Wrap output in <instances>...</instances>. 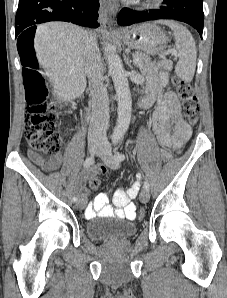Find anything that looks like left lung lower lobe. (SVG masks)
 Listing matches in <instances>:
<instances>
[{
  "label": "left lung lower lobe",
  "instance_id": "left-lung-lower-lobe-1",
  "mask_svg": "<svg viewBox=\"0 0 227 298\" xmlns=\"http://www.w3.org/2000/svg\"><path fill=\"white\" fill-rule=\"evenodd\" d=\"M160 9L132 11L123 8L118 16V24L128 26L138 22L157 19H174L193 26L202 38L204 13L202 0H163Z\"/></svg>",
  "mask_w": 227,
  "mask_h": 298
}]
</instances>
